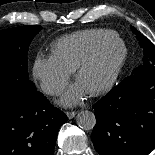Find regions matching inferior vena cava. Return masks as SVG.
<instances>
[{
    "mask_svg": "<svg viewBox=\"0 0 155 155\" xmlns=\"http://www.w3.org/2000/svg\"><path fill=\"white\" fill-rule=\"evenodd\" d=\"M42 90L50 95H60L62 93V88L54 83H44Z\"/></svg>",
    "mask_w": 155,
    "mask_h": 155,
    "instance_id": "inferior-vena-cava-1",
    "label": "inferior vena cava"
}]
</instances>
